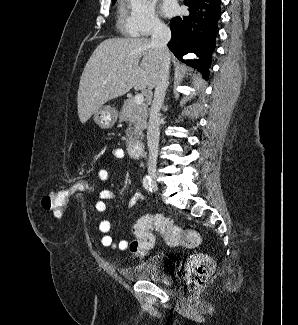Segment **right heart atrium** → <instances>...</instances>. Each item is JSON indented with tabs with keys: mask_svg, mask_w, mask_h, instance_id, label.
I'll return each instance as SVG.
<instances>
[{
	"mask_svg": "<svg viewBox=\"0 0 298 325\" xmlns=\"http://www.w3.org/2000/svg\"><path fill=\"white\" fill-rule=\"evenodd\" d=\"M128 10L129 25H125L126 37H136L141 41L147 36L149 30L163 29L154 0H130Z\"/></svg>",
	"mask_w": 298,
	"mask_h": 325,
	"instance_id": "1",
	"label": "right heart atrium"
}]
</instances>
